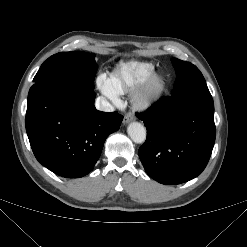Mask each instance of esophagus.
Returning <instances> with one entry per match:
<instances>
[{
	"mask_svg": "<svg viewBox=\"0 0 247 247\" xmlns=\"http://www.w3.org/2000/svg\"><path fill=\"white\" fill-rule=\"evenodd\" d=\"M134 119H135V116L131 113H128L127 115H125L123 122L124 124H126V123L133 121Z\"/></svg>",
	"mask_w": 247,
	"mask_h": 247,
	"instance_id": "obj_1",
	"label": "esophagus"
}]
</instances>
